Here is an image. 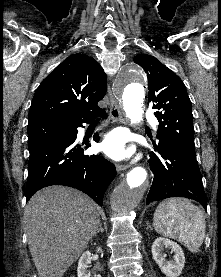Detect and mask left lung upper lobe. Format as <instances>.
<instances>
[{"instance_id": "5c2ea615", "label": "left lung upper lobe", "mask_w": 221, "mask_h": 277, "mask_svg": "<svg viewBox=\"0 0 221 277\" xmlns=\"http://www.w3.org/2000/svg\"><path fill=\"white\" fill-rule=\"evenodd\" d=\"M134 62L148 78V99L159 121L157 138L195 155L191 101L182 80L155 57L138 54Z\"/></svg>"}]
</instances>
